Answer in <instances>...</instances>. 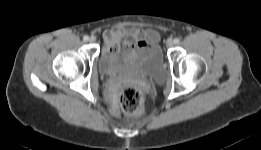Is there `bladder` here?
<instances>
[{"mask_svg": "<svg viewBox=\"0 0 261 150\" xmlns=\"http://www.w3.org/2000/svg\"><path fill=\"white\" fill-rule=\"evenodd\" d=\"M98 66L104 75L138 73L158 82L166 75L163 53L156 40L147 49L129 45L107 46L101 51Z\"/></svg>", "mask_w": 261, "mask_h": 150, "instance_id": "31cf9c89", "label": "bladder"}]
</instances>
